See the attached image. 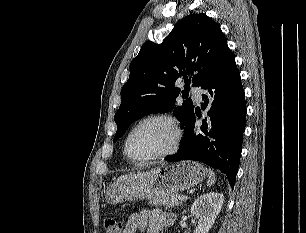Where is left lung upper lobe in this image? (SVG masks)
<instances>
[{
    "label": "left lung upper lobe",
    "mask_w": 306,
    "mask_h": 233,
    "mask_svg": "<svg viewBox=\"0 0 306 233\" xmlns=\"http://www.w3.org/2000/svg\"><path fill=\"white\" fill-rule=\"evenodd\" d=\"M229 51L220 26L206 14L179 20L162 43L146 42L130 63V76L121 89L122 102L114 120L120 138L135 120L151 113H173L185 125L193 113L189 98L174 108L180 89L175 81L184 77L185 89L201 86ZM184 91L182 96L184 97ZM183 128V126H182Z\"/></svg>",
    "instance_id": "left-lung-upper-lobe-1"
}]
</instances>
